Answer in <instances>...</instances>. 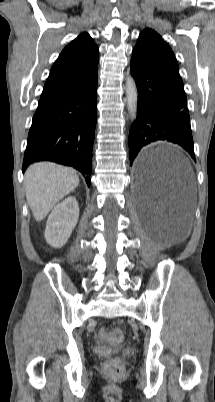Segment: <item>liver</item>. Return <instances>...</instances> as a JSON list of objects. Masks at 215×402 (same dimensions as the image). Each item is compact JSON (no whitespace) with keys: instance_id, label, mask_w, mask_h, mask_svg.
I'll list each match as a JSON object with an SVG mask.
<instances>
[{"instance_id":"obj_1","label":"liver","mask_w":215,"mask_h":402,"mask_svg":"<svg viewBox=\"0 0 215 402\" xmlns=\"http://www.w3.org/2000/svg\"><path fill=\"white\" fill-rule=\"evenodd\" d=\"M78 184L79 177L72 168L51 162H39L29 166L24 178L25 193L36 221L43 220Z\"/></svg>"}]
</instances>
